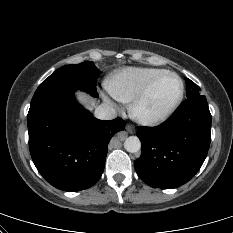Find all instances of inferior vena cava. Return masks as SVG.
<instances>
[{
    "mask_svg": "<svg viewBox=\"0 0 233 233\" xmlns=\"http://www.w3.org/2000/svg\"><path fill=\"white\" fill-rule=\"evenodd\" d=\"M94 115L101 120H112L117 116V112L112 106L104 103L96 107Z\"/></svg>",
    "mask_w": 233,
    "mask_h": 233,
    "instance_id": "602c4592",
    "label": "inferior vena cava"
}]
</instances>
